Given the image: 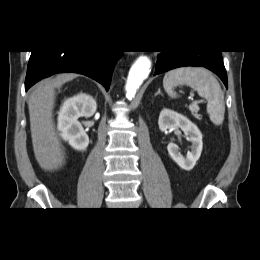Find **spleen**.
Returning <instances> with one entry per match:
<instances>
[{"label":"spleen","instance_id":"spleen-1","mask_svg":"<svg viewBox=\"0 0 260 260\" xmlns=\"http://www.w3.org/2000/svg\"><path fill=\"white\" fill-rule=\"evenodd\" d=\"M187 85L197 91L200 97L207 99V113L215 125L224 120V93L217 79L204 68L183 67L167 72L163 78V87L171 98H176L174 87Z\"/></svg>","mask_w":260,"mask_h":260}]
</instances>
